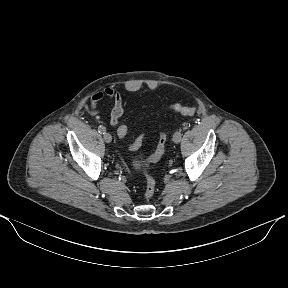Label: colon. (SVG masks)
<instances>
[{
    "label": "colon",
    "instance_id": "obj_1",
    "mask_svg": "<svg viewBox=\"0 0 288 288\" xmlns=\"http://www.w3.org/2000/svg\"><path fill=\"white\" fill-rule=\"evenodd\" d=\"M170 109L184 115V116H192L196 112V107L194 106H184L181 104H174L170 107ZM119 133L121 135L120 138H124L127 134V126L123 124L121 128L119 129ZM144 140V135H140L137 137L134 142L130 145L131 150H137L141 145ZM165 143H166V136L163 133H160L158 143L156 146L155 151L153 152L152 155L148 157V159L144 163V171L146 175V187H145V197L147 199H150L156 190V181L154 177L148 172V167L149 164L152 162L158 161L165 150Z\"/></svg>",
    "mask_w": 288,
    "mask_h": 288
}]
</instances>
